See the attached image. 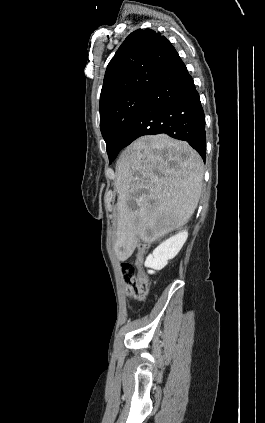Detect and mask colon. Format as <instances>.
<instances>
[{
	"label": "colon",
	"mask_w": 265,
	"mask_h": 423,
	"mask_svg": "<svg viewBox=\"0 0 265 423\" xmlns=\"http://www.w3.org/2000/svg\"><path fill=\"white\" fill-rule=\"evenodd\" d=\"M121 271L127 283L128 296L143 299L148 291V279L141 272L139 262H124Z\"/></svg>",
	"instance_id": "colon-1"
}]
</instances>
